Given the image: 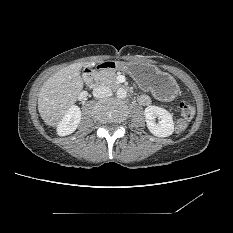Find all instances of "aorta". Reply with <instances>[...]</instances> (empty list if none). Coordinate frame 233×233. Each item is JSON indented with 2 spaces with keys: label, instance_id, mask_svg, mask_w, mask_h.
I'll use <instances>...</instances> for the list:
<instances>
[{
  "label": "aorta",
  "instance_id": "1",
  "mask_svg": "<svg viewBox=\"0 0 233 233\" xmlns=\"http://www.w3.org/2000/svg\"><path fill=\"white\" fill-rule=\"evenodd\" d=\"M118 98H125L127 96V92L123 88H119L116 92Z\"/></svg>",
  "mask_w": 233,
  "mask_h": 233
}]
</instances>
